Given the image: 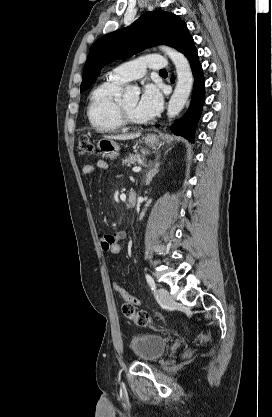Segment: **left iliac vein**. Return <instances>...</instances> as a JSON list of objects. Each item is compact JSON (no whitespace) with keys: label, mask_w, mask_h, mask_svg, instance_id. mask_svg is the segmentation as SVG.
Instances as JSON below:
<instances>
[{"label":"left iliac vein","mask_w":272,"mask_h":417,"mask_svg":"<svg viewBox=\"0 0 272 417\" xmlns=\"http://www.w3.org/2000/svg\"><path fill=\"white\" fill-rule=\"evenodd\" d=\"M158 299L164 306H169L172 302V298L169 292L164 288H159L157 291Z\"/></svg>","instance_id":"1"}]
</instances>
